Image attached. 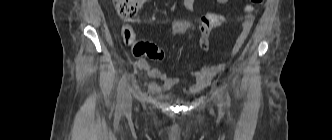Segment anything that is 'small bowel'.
Here are the masks:
<instances>
[{
	"label": "small bowel",
	"mask_w": 332,
	"mask_h": 140,
	"mask_svg": "<svg viewBox=\"0 0 332 140\" xmlns=\"http://www.w3.org/2000/svg\"><path fill=\"white\" fill-rule=\"evenodd\" d=\"M219 4H226L229 0H216ZM185 7L189 12L194 11V0H185ZM254 22L253 16H246L241 24L240 33L235 41V44L230 51V53L224 58V60L219 64L206 65L200 70L192 72L191 75L195 78L196 83L191 86L188 90L189 93H196L208 86L212 79L220 73L228 64L230 59L240 50L246 38L248 37L250 30ZM199 47L203 51L209 49V40L206 35L201 36L199 39ZM137 66L140 70L144 71L146 74V85L149 91L153 94H159L165 100L172 99L168 94L172 88L178 85L181 81L180 77H172L157 68H153L149 61L145 58H141L137 61ZM151 79H159L162 84H158ZM178 100V98H174Z\"/></svg>",
	"instance_id": "small-bowel-1"
}]
</instances>
